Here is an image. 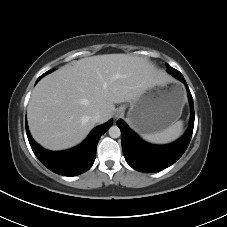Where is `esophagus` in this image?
I'll return each mask as SVG.
<instances>
[{
    "label": "esophagus",
    "mask_w": 227,
    "mask_h": 227,
    "mask_svg": "<svg viewBox=\"0 0 227 227\" xmlns=\"http://www.w3.org/2000/svg\"><path fill=\"white\" fill-rule=\"evenodd\" d=\"M124 109L122 107H119L115 112V118H120L124 115Z\"/></svg>",
    "instance_id": "34e87169"
}]
</instances>
